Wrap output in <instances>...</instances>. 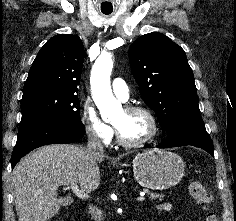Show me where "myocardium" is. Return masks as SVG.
Wrapping results in <instances>:
<instances>
[{
    "instance_id": "obj_1",
    "label": "myocardium",
    "mask_w": 236,
    "mask_h": 221,
    "mask_svg": "<svg viewBox=\"0 0 236 221\" xmlns=\"http://www.w3.org/2000/svg\"><path fill=\"white\" fill-rule=\"evenodd\" d=\"M124 110L130 113L140 112L145 114L151 123V131L144 139L138 141H128L121 136L118 128L114 125L117 141L120 145L128 148L142 147L151 143L158 136L160 131L159 122L151 109L142 105H128L124 108Z\"/></svg>"
}]
</instances>
